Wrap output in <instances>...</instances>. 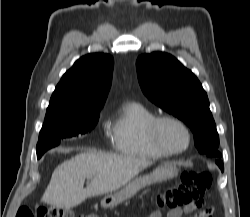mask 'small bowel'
Returning <instances> with one entry per match:
<instances>
[{
  "instance_id": "small-bowel-1",
  "label": "small bowel",
  "mask_w": 250,
  "mask_h": 217,
  "mask_svg": "<svg viewBox=\"0 0 250 217\" xmlns=\"http://www.w3.org/2000/svg\"><path fill=\"white\" fill-rule=\"evenodd\" d=\"M199 211V208L188 206L184 210L182 209H174L171 210L168 214V217H182L183 213L186 214H193V217H210V214L208 212H197ZM149 217H162V213L158 210L153 211Z\"/></svg>"
}]
</instances>
